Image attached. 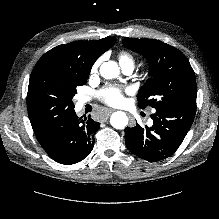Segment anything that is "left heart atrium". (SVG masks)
<instances>
[{
	"label": "left heart atrium",
	"instance_id": "39dd6f15",
	"mask_svg": "<svg viewBox=\"0 0 219 219\" xmlns=\"http://www.w3.org/2000/svg\"><path fill=\"white\" fill-rule=\"evenodd\" d=\"M102 101L109 106L120 105L123 100V89L115 85H107L99 91Z\"/></svg>",
	"mask_w": 219,
	"mask_h": 219
}]
</instances>
